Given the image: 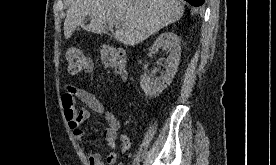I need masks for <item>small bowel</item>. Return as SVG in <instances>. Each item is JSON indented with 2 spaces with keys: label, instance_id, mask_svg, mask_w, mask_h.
Listing matches in <instances>:
<instances>
[{
  "label": "small bowel",
  "instance_id": "small-bowel-1",
  "mask_svg": "<svg viewBox=\"0 0 276 165\" xmlns=\"http://www.w3.org/2000/svg\"><path fill=\"white\" fill-rule=\"evenodd\" d=\"M77 100L81 101L85 107L76 109L75 102ZM61 105L68 126L73 131L75 140L85 150L89 165H114L118 158L115 151L120 129L118 118L112 112L106 110L101 101L93 93L71 85L66 86L62 93ZM91 111L101 115L107 123V127L103 131V137L110 152L107 154L105 161H103L101 155L88 146L85 132L82 129V124L89 118ZM120 140L122 151L128 150L130 147L129 138L126 135H122Z\"/></svg>",
  "mask_w": 276,
  "mask_h": 165
}]
</instances>
